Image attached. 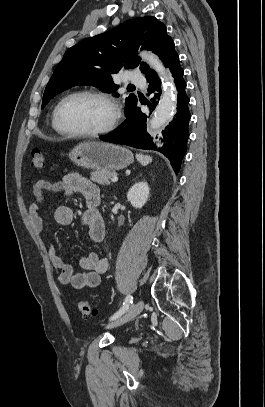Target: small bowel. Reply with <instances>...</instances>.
Instances as JSON below:
<instances>
[{
  "label": "small bowel",
  "mask_w": 265,
  "mask_h": 407,
  "mask_svg": "<svg viewBox=\"0 0 265 407\" xmlns=\"http://www.w3.org/2000/svg\"><path fill=\"white\" fill-rule=\"evenodd\" d=\"M45 192L62 193L69 195L74 192L81 193L87 204V208L81 215V223L87 229L88 237L93 242H101L105 237L104 221L97 210L92 206V201L100 199L99 187L80 175L68 173L58 182L52 183L46 180H38L33 186L35 201L29 206V218L33 230L42 234L44 229L43 219L39 214L41 204L45 200ZM55 219L60 224L73 222V211L70 207L60 205L55 210ZM48 255L53 266L59 270V281L64 285H71L75 289L85 287L93 288L99 285L101 275L108 270V261L94 252H89L79 258L78 264L84 269L83 272L75 273L71 262L62 258L56 246L51 243Z\"/></svg>",
  "instance_id": "1"
}]
</instances>
